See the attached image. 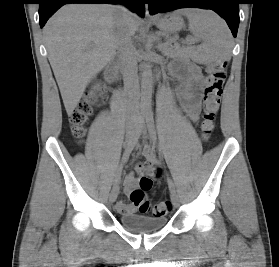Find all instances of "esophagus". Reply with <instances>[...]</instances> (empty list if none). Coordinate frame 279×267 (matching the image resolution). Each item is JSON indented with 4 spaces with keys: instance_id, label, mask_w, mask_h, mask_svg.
I'll list each match as a JSON object with an SVG mask.
<instances>
[{
    "instance_id": "obj_1",
    "label": "esophagus",
    "mask_w": 279,
    "mask_h": 267,
    "mask_svg": "<svg viewBox=\"0 0 279 267\" xmlns=\"http://www.w3.org/2000/svg\"><path fill=\"white\" fill-rule=\"evenodd\" d=\"M145 14H146V17H151L150 13H149V8H148V4H145Z\"/></svg>"
}]
</instances>
